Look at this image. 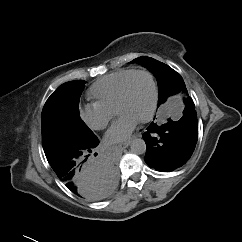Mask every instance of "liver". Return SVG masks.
I'll use <instances>...</instances> for the list:
<instances>
[{
	"label": "liver",
	"mask_w": 242,
	"mask_h": 242,
	"mask_svg": "<svg viewBox=\"0 0 242 242\" xmlns=\"http://www.w3.org/2000/svg\"><path fill=\"white\" fill-rule=\"evenodd\" d=\"M105 175H102L95 184H90L84 189V197L89 200L102 199L108 195L106 192Z\"/></svg>",
	"instance_id": "6515ba94"
}]
</instances>
